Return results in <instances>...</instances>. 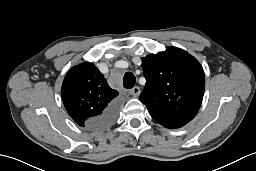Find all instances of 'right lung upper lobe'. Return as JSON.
Instances as JSON below:
<instances>
[{"mask_svg": "<svg viewBox=\"0 0 256 171\" xmlns=\"http://www.w3.org/2000/svg\"><path fill=\"white\" fill-rule=\"evenodd\" d=\"M118 94L90 62L72 67L61 88L62 100L70 117L78 125L88 128H95L92 120L116 102Z\"/></svg>", "mask_w": 256, "mask_h": 171, "instance_id": "obj_1", "label": "right lung upper lobe"}]
</instances>
